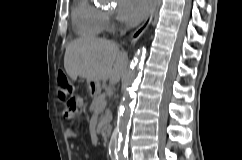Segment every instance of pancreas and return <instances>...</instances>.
I'll list each match as a JSON object with an SVG mask.
<instances>
[{"label": "pancreas", "instance_id": "cf45deb5", "mask_svg": "<svg viewBox=\"0 0 242 160\" xmlns=\"http://www.w3.org/2000/svg\"><path fill=\"white\" fill-rule=\"evenodd\" d=\"M107 95L105 93L99 94L93 98V101L90 106V111H99V113H103V111L106 108L107 102H106ZM111 120V116L109 114V111L106 110L105 114L101 116L100 122L98 124V129H101L103 125L109 123Z\"/></svg>", "mask_w": 242, "mask_h": 160}]
</instances>
